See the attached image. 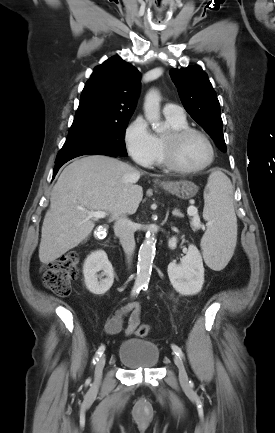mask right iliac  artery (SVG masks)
<instances>
[{"label":"right iliac artery","instance_id":"82829eb1","mask_svg":"<svg viewBox=\"0 0 275 433\" xmlns=\"http://www.w3.org/2000/svg\"><path fill=\"white\" fill-rule=\"evenodd\" d=\"M141 289H142L141 286H139V285H135V286L133 287V289H132V296L137 295V294L140 292ZM104 351H105V346H104V345H101V346L98 348V350L96 351V353H95V356H94L93 361H92L93 364H95V363L99 360V357L102 356V354L104 353Z\"/></svg>","mask_w":275,"mask_h":433}]
</instances>
